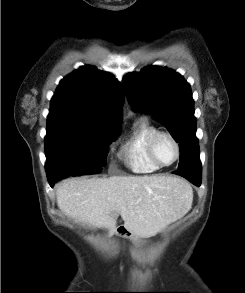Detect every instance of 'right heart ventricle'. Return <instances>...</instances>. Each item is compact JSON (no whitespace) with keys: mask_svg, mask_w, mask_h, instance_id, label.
Segmentation results:
<instances>
[{"mask_svg":"<svg viewBox=\"0 0 245 293\" xmlns=\"http://www.w3.org/2000/svg\"><path fill=\"white\" fill-rule=\"evenodd\" d=\"M158 128L146 118H140L133 124L123 147V157L127 167L135 173H152L158 167L149 157L148 145Z\"/></svg>","mask_w":245,"mask_h":293,"instance_id":"right-heart-ventricle-1","label":"right heart ventricle"}]
</instances>
